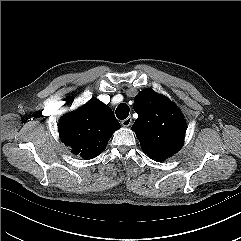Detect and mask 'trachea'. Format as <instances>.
I'll return each mask as SVG.
<instances>
[{"instance_id":"obj_1","label":"trachea","mask_w":241,"mask_h":241,"mask_svg":"<svg viewBox=\"0 0 241 241\" xmlns=\"http://www.w3.org/2000/svg\"><path fill=\"white\" fill-rule=\"evenodd\" d=\"M129 106L125 103H121L117 108H116V116L120 120H124L128 117L129 115Z\"/></svg>"}]
</instances>
